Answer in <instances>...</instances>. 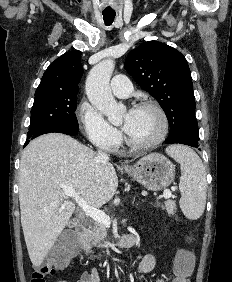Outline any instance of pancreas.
<instances>
[{
    "label": "pancreas",
    "mask_w": 232,
    "mask_h": 282,
    "mask_svg": "<svg viewBox=\"0 0 232 282\" xmlns=\"http://www.w3.org/2000/svg\"><path fill=\"white\" fill-rule=\"evenodd\" d=\"M163 210H166L169 215H174L176 212V203L174 200H167L164 206H161ZM107 227L101 223L93 222L87 232L86 237L93 246L98 248L105 247V239L107 237Z\"/></svg>",
    "instance_id": "1"
}]
</instances>
